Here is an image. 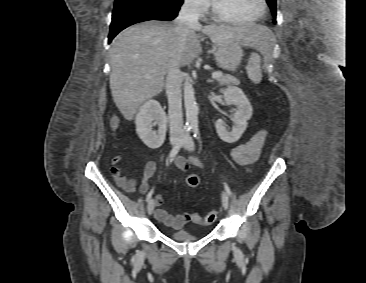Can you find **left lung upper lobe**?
<instances>
[{
	"label": "left lung upper lobe",
	"instance_id": "left-lung-upper-lobe-1",
	"mask_svg": "<svg viewBox=\"0 0 366 283\" xmlns=\"http://www.w3.org/2000/svg\"><path fill=\"white\" fill-rule=\"evenodd\" d=\"M266 2L268 3V5L272 11V14L274 17L273 23H276V0H266Z\"/></svg>",
	"mask_w": 366,
	"mask_h": 283
}]
</instances>
